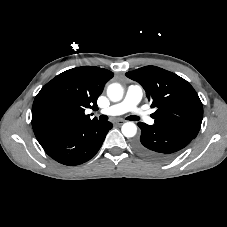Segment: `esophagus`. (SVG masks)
<instances>
[{
  "mask_svg": "<svg viewBox=\"0 0 227 227\" xmlns=\"http://www.w3.org/2000/svg\"><path fill=\"white\" fill-rule=\"evenodd\" d=\"M123 122H124L123 120H116V121H115V124L121 125Z\"/></svg>",
  "mask_w": 227,
  "mask_h": 227,
  "instance_id": "34e87169",
  "label": "esophagus"
}]
</instances>
